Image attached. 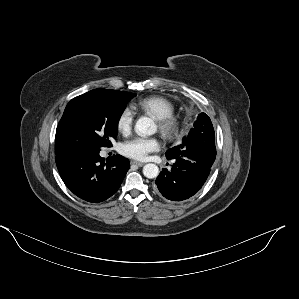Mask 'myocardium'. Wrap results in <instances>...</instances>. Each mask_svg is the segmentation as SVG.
<instances>
[{
  "instance_id": "obj_1",
  "label": "myocardium",
  "mask_w": 299,
  "mask_h": 299,
  "mask_svg": "<svg viewBox=\"0 0 299 299\" xmlns=\"http://www.w3.org/2000/svg\"><path fill=\"white\" fill-rule=\"evenodd\" d=\"M157 125L160 133L166 138V139H172L174 138L180 129V123L179 120L172 116H168L162 119L157 120Z\"/></svg>"
}]
</instances>
